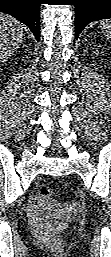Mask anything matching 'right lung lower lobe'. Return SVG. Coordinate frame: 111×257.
I'll return each instance as SVG.
<instances>
[{"mask_svg":"<svg viewBox=\"0 0 111 257\" xmlns=\"http://www.w3.org/2000/svg\"><path fill=\"white\" fill-rule=\"evenodd\" d=\"M40 0H0V12L26 24L37 41L40 39Z\"/></svg>","mask_w":111,"mask_h":257,"instance_id":"98d812e1","label":"right lung lower lobe"}]
</instances>
